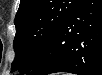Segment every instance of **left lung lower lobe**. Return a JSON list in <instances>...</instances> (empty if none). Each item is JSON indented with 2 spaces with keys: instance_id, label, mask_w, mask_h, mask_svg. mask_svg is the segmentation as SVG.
<instances>
[{
  "instance_id": "left-lung-lower-lobe-1",
  "label": "left lung lower lobe",
  "mask_w": 102,
  "mask_h": 75,
  "mask_svg": "<svg viewBox=\"0 0 102 75\" xmlns=\"http://www.w3.org/2000/svg\"><path fill=\"white\" fill-rule=\"evenodd\" d=\"M102 75V1L82 0L57 27L28 75Z\"/></svg>"
}]
</instances>
